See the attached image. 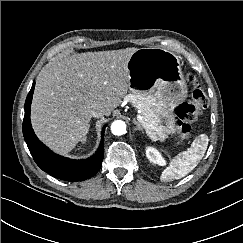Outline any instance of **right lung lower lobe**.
Here are the masks:
<instances>
[{
    "instance_id": "98d812e1",
    "label": "right lung lower lobe",
    "mask_w": 243,
    "mask_h": 243,
    "mask_svg": "<svg viewBox=\"0 0 243 243\" xmlns=\"http://www.w3.org/2000/svg\"><path fill=\"white\" fill-rule=\"evenodd\" d=\"M34 87L35 81L25 101L23 135L36 164L46 173L66 181H83L94 176L102 165L104 155V129L101 134L100 146L91 158L72 160L53 153L39 141L31 126L30 106Z\"/></svg>"
}]
</instances>
